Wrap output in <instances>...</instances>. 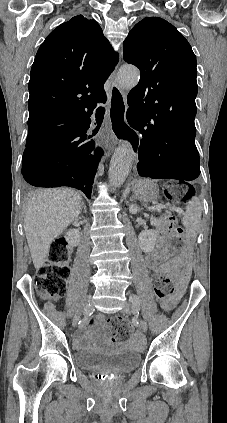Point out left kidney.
<instances>
[{
	"instance_id": "5707ae66",
	"label": "left kidney",
	"mask_w": 227,
	"mask_h": 423,
	"mask_svg": "<svg viewBox=\"0 0 227 423\" xmlns=\"http://www.w3.org/2000/svg\"><path fill=\"white\" fill-rule=\"evenodd\" d=\"M129 211L130 213H137L138 208L135 206V204H132V206H129ZM157 221L158 219L151 215L150 223H152V225H157ZM157 235L158 233L155 231V229H145V231H140L138 235V241L142 251L149 253V251L154 249L157 241Z\"/></svg>"
}]
</instances>
